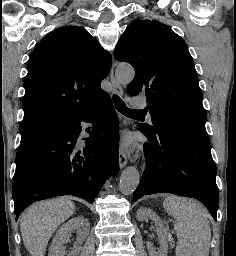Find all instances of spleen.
<instances>
[{
    "instance_id": "obj_1",
    "label": "spleen",
    "mask_w": 236,
    "mask_h": 256,
    "mask_svg": "<svg viewBox=\"0 0 236 256\" xmlns=\"http://www.w3.org/2000/svg\"><path fill=\"white\" fill-rule=\"evenodd\" d=\"M163 206L174 218L176 256H209L211 230L207 214L194 200L167 196Z\"/></svg>"
}]
</instances>
